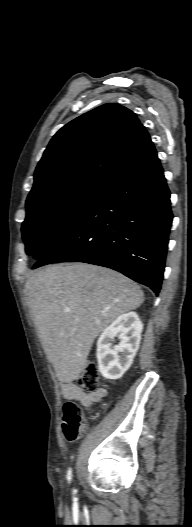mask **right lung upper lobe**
I'll return each instance as SVG.
<instances>
[{"mask_svg": "<svg viewBox=\"0 0 192 527\" xmlns=\"http://www.w3.org/2000/svg\"><path fill=\"white\" fill-rule=\"evenodd\" d=\"M150 143L135 113L117 103L101 105L54 135L35 170L27 199L84 179L107 182Z\"/></svg>", "mask_w": 192, "mask_h": 527, "instance_id": "cb5924a9", "label": "right lung upper lobe"}]
</instances>
